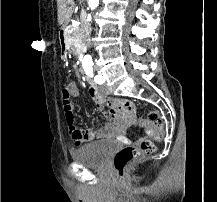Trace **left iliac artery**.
Wrapping results in <instances>:
<instances>
[{
    "label": "left iliac artery",
    "mask_w": 217,
    "mask_h": 202,
    "mask_svg": "<svg viewBox=\"0 0 217 202\" xmlns=\"http://www.w3.org/2000/svg\"><path fill=\"white\" fill-rule=\"evenodd\" d=\"M90 72V77H93V71L91 70ZM94 81L98 84H103L105 82V80L99 75L94 76Z\"/></svg>",
    "instance_id": "obj_1"
}]
</instances>
